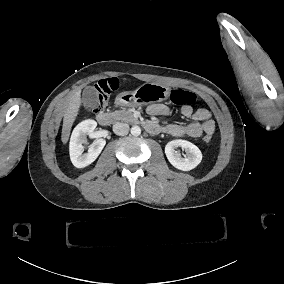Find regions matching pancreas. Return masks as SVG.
Segmentation results:
<instances>
[{"instance_id": "1", "label": "pancreas", "mask_w": 284, "mask_h": 284, "mask_svg": "<svg viewBox=\"0 0 284 284\" xmlns=\"http://www.w3.org/2000/svg\"><path fill=\"white\" fill-rule=\"evenodd\" d=\"M111 114L113 115L115 120L126 122L129 124L137 123V120L134 118L133 113L130 109H128L127 111L124 110L112 111Z\"/></svg>"}]
</instances>
